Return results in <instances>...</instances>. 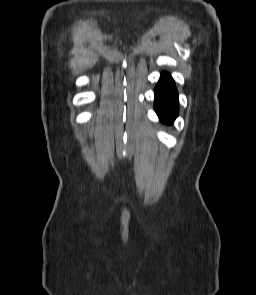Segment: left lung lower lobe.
Returning a JSON list of instances; mask_svg holds the SVG:
<instances>
[{"label": "left lung lower lobe", "instance_id": "1", "mask_svg": "<svg viewBox=\"0 0 256 295\" xmlns=\"http://www.w3.org/2000/svg\"><path fill=\"white\" fill-rule=\"evenodd\" d=\"M155 111L162 123L171 124L178 116V93L168 73H162L155 87Z\"/></svg>", "mask_w": 256, "mask_h": 295}]
</instances>
